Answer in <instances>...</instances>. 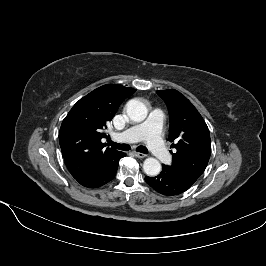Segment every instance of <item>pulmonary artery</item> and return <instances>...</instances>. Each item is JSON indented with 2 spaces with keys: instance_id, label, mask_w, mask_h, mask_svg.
<instances>
[{
  "instance_id": "1",
  "label": "pulmonary artery",
  "mask_w": 266,
  "mask_h": 266,
  "mask_svg": "<svg viewBox=\"0 0 266 266\" xmlns=\"http://www.w3.org/2000/svg\"><path fill=\"white\" fill-rule=\"evenodd\" d=\"M163 112L159 109L153 110L149 117L142 123L134 125L122 133L114 136L115 140L121 142H137L144 140L152 153L162 162H169L170 155L161 139V125Z\"/></svg>"
}]
</instances>
